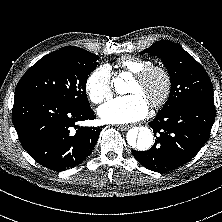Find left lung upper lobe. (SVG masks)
<instances>
[{
    "instance_id": "5c2ea615",
    "label": "left lung upper lobe",
    "mask_w": 222,
    "mask_h": 222,
    "mask_svg": "<svg viewBox=\"0 0 222 222\" xmlns=\"http://www.w3.org/2000/svg\"><path fill=\"white\" fill-rule=\"evenodd\" d=\"M141 53L158 56L168 69L171 91L164 113L191 101L214 102L213 86L205 69L179 45L168 41H157Z\"/></svg>"
}]
</instances>
